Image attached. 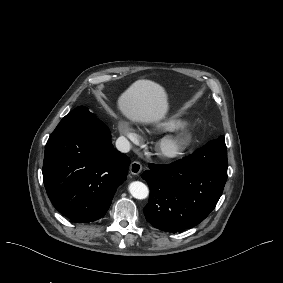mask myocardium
I'll return each mask as SVG.
<instances>
[{
	"instance_id": "myocardium-1",
	"label": "myocardium",
	"mask_w": 283,
	"mask_h": 283,
	"mask_svg": "<svg viewBox=\"0 0 283 283\" xmlns=\"http://www.w3.org/2000/svg\"><path fill=\"white\" fill-rule=\"evenodd\" d=\"M191 133L187 125H181L158 139L161 160L165 164H172L181 160L191 145Z\"/></svg>"
}]
</instances>
